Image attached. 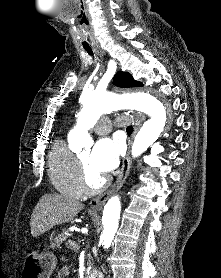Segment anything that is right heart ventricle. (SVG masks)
Here are the masks:
<instances>
[{
  "mask_svg": "<svg viewBox=\"0 0 221 278\" xmlns=\"http://www.w3.org/2000/svg\"><path fill=\"white\" fill-rule=\"evenodd\" d=\"M48 174L54 188L62 195L81 199L83 190L78 174L76 154L62 139L54 142L48 155Z\"/></svg>",
  "mask_w": 221,
  "mask_h": 278,
  "instance_id": "right-heart-ventricle-1",
  "label": "right heart ventricle"
}]
</instances>
